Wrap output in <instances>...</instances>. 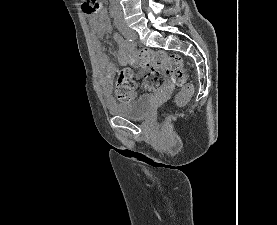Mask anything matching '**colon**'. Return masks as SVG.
Here are the masks:
<instances>
[{
	"label": "colon",
	"instance_id": "obj_1",
	"mask_svg": "<svg viewBox=\"0 0 277 225\" xmlns=\"http://www.w3.org/2000/svg\"><path fill=\"white\" fill-rule=\"evenodd\" d=\"M82 8L87 14H95L99 12L100 4L98 0H83ZM130 63L151 69L142 85L144 91H158L165 82V76L171 75L180 87L175 97L176 106L183 107L192 96L193 86L187 82V71L180 55H168L160 51L142 49L130 59ZM136 92L137 85L132 79V71L129 68L121 69L115 87L116 99L120 102L131 101Z\"/></svg>",
	"mask_w": 277,
	"mask_h": 225
}]
</instances>
